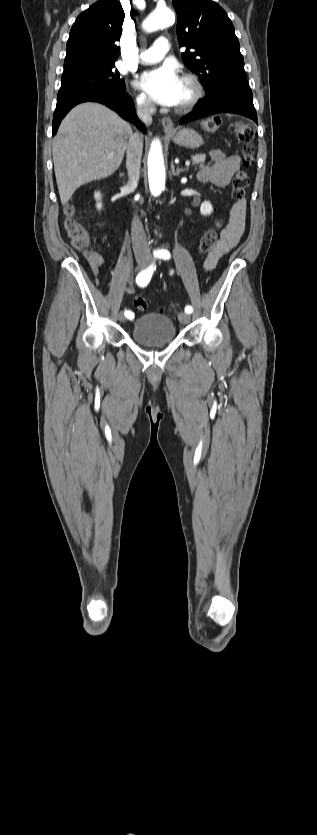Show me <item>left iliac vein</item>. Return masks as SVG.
Listing matches in <instances>:
<instances>
[{"mask_svg":"<svg viewBox=\"0 0 317 835\" xmlns=\"http://www.w3.org/2000/svg\"><path fill=\"white\" fill-rule=\"evenodd\" d=\"M178 319L181 323L187 324L190 322V315L186 312H181L178 315Z\"/></svg>","mask_w":317,"mask_h":835,"instance_id":"1","label":"left iliac vein"}]
</instances>
